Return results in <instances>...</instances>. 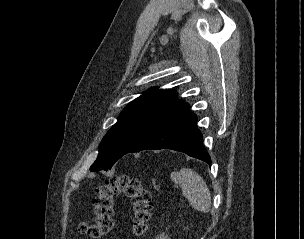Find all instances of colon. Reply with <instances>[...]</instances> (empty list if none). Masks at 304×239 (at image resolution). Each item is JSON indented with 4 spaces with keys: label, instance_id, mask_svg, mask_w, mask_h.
Here are the masks:
<instances>
[{
    "label": "colon",
    "instance_id": "obj_1",
    "mask_svg": "<svg viewBox=\"0 0 304 239\" xmlns=\"http://www.w3.org/2000/svg\"><path fill=\"white\" fill-rule=\"evenodd\" d=\"M123 195L131 205L132 230L138 237H144L149 228L153 209L150 192L139 178L127 174L114 176L99 185L93 199L94 220L81 222L79 231L90 239H102L113 228L114 199Z\"/></svg>",
    "mask_w": 304,
    "mask_h": 239
}]
</instances>
